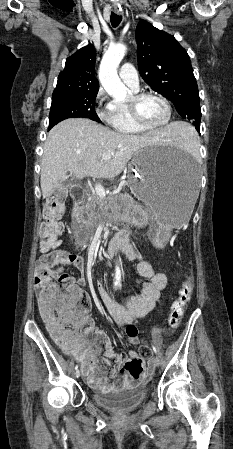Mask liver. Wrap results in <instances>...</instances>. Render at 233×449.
<instances>
[{
    "label": "liver",
    "mask_w": 233,
    "mask_h": 449,
    "mask_svg": "<svg viewBox=\"0 0 233 449\" xmlns=\"http://www.w3.org/2000/svg\"><path fill=\"white\" fill-rule=\"evenodd\" d=\"M182 134L181 123L130 135L112 131L90 119L71 118L55 125L48 133L41 161L43 198L63 190L62 181L69 171L76 179L86 176L111 179L119 175L128 161L148 145L165 146ZM104 154H112L102 160Z\"/></svg>",
    "instance_id": "6515ba94"
}]
</instances>
